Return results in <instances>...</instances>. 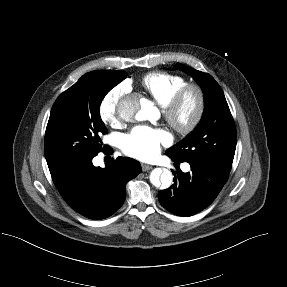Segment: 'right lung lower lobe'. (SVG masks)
I'll return each mask as SVG.
<instances>
[{
  "instance_id": "1",
  "label": "right lung lower lobe",
  "mask_w": 287,
  "mask_h": 287,
  "mask_svg": "<svg viewBox=\"0 0 287 287\" xmlns=\"http://www.w3.org/2000/svg\"><path fill=\"white\" fill-rule=\"evenodd\" d=\"M108 148L104 150L110 151ZM91 156L51 171L52 180L67 202L81 215L100 220L109 217L124 203L126 184L141 172L138 161L118 157L105 168L95 167Z\"/></svg>"
}]
</instances>
